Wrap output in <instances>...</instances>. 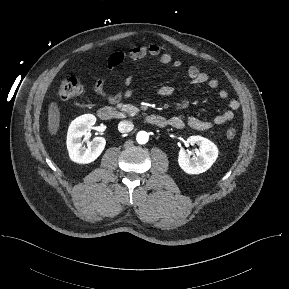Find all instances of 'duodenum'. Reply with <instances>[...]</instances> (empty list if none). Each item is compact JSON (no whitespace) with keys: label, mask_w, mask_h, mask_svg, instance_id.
<instances>
[{"label":"duodenum","mask_w":289,"mask_h":289,"mask_svg":"<svg viewBox=\"0 0 289 289\" xmlns=\"http://www.w3.org/2000/svg\"><path fill=\"white\" fill-rule=\"evenodd\" d=\"M123 115V111L115 106H103L98 110V116L103 121L121 118ZM143 119L147 123L157 127H165L168 124V120L164 116L158 114L147 115Z\"/></svg>","instance_id":"obj_1"}]
</instances>
